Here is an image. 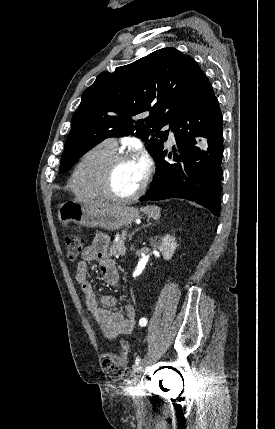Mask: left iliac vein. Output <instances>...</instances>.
<instances>
[{"mask_svg":"<svg viewBox=\"0 0 275 429\" xmlns=\"http://www.w3.org/2000/svg\"><path fill=\"white\" fill-rule=\"evenodd\" d=\"M152 353H148L139 363L138 367L136 368V377H138L140 374L143 373Z\"/></svg>","mask_w":275,"mask_h":429,"instance_id":"1","label":"left iliac vein"}]
</instances>
